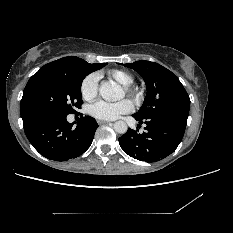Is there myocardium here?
I'll use <instances>...</instances> for the list:
<instances>
[{"instance_id":"myocardium-1","label":"myocardium","mask_w":233,"mask_h":233,"mask_svg":"<svg viewBox=\"0 0 233 233\" xmlns=\"http://www.w3.org/2000/svg\"><path fill=\"white\" fill-rule=\"evenodd\" d=\"M126 95L131 98L136 104L140 103L143 99V90L135 84L123 86Z\"/></svg>"}]
</instances>
